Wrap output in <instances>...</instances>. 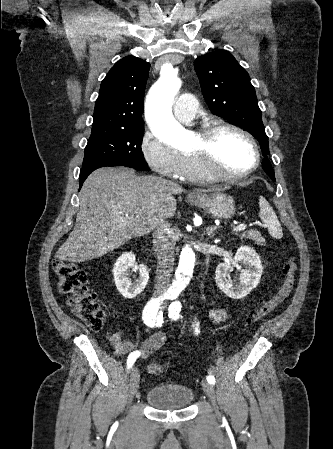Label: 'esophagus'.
Here are the masks:
<instances>
[{
  "instance_id": "esophagus-1",
  "label": "esophagus",
  "mask_w": 333,
  "mask_h": 449,
  "mask_svg": "<svg viewBox=\"0 0 333 449\" xmlns=\"http://www.w3.org/2000/svg\"><path fill=\"white\" fill-rule=\"evenodd\" d=\"M192 194H193L194 196H198V195H199V192H198V191H193Z\"/></svg>"
}]
</instances>
